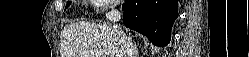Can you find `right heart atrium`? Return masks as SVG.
Returning a JSON list of instances; mask_svg holds the SVG:
<instances>
[{"mask_svg": "<svg viewBox=\"0 0 249 57\" xmlns=\"http://www.w3.org/2000/svg\"><path fill=\"white\" fill-rule=\"evenodd\" d=\"M94 5H96L98 8H108L112 7L117 3V1L113 0H95L93 1Z\"/></svg>", "mask_w": 249, "mask_h": 57, "instance_id": "d8ad5b80", "label": "right heart atrium"}]
</instances>
